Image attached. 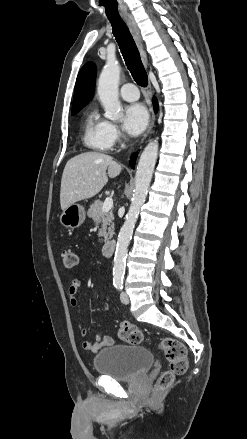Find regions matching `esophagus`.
Instances as JSON below:
<instances>
[{
  "mask_svg": "<svg viewBox=\"0 0 247 439\" xmlns=\"http://www.w3.org/2000/svg\"><path fill=\"white\" fill-rule=\"evenodd\" d=\"M123 19L126 22L128 28H129V30H130L133 38H134V41H135V43L137 45V48H138V50L140 52L141 60H142V62L144 64L145 68H147L148 67L147 54H146V51L144 49L143 41H142V38H141V35H140V30H139V28H138V26H137V24L135 22V19L130 14L125 15L123 17ZM149 87H150V90H151V85H149ZM154 121H155V116L153 115L151 123L149 125V128H148L147 132L144 134L141 142H143L144 139L151 132V130H152L153 126H154Z\"/></svg>",
  "mask_w": 247,
  "mask_h": 439,
  "instance_id": "esophagus-1",
  "label": "esophagus"
}]
</instances>
